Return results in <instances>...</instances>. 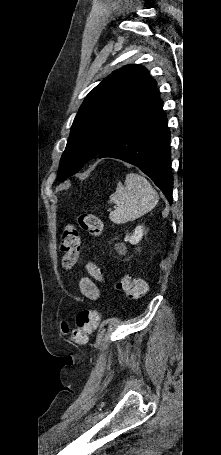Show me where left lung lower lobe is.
<instances>
[{"label": "left lung lower lobe", "instance_id": "1", "mask_svg": "<svg viewBox=\"0 0 221 455\" xmlns=\"http://www.w3.org/2000/svg\"><path fill=\"white\" fill-rule=\"evenodd\" d=\"M170 131L160 100L150 111L125 127L98 154L137 166L161 189L172 204Z\"/></svg>", "mask_w": 221, "mask_h": 455}]
</instances>
